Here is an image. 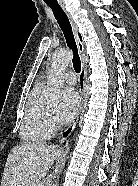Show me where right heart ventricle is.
<instances>
[{
    "instance_id": "obj_1",
    "label": "right heart ventricle",
    "mask_w": 138,
    "mask_h": 186,
    "mask_svg": "<svg viewBox=\"0 0 138 186\" xmlns=\"http://www.w3.org/2000/svg\"><path fill=\"white\" fill-rule=\"evenodd\" d=\"M49 109L41 96V87L37 88L28 101L22 121L20 136L26 142H38L47 139L51 130L48 125Z\"/></svg>"
}]
</instances>
